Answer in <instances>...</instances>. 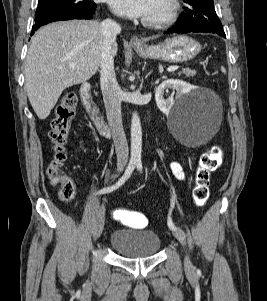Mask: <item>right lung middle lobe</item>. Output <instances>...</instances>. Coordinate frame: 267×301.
Listing matches in <instances>:
<instances>
[{
	"instance_id": "obj_1",
	"label": "right lung middle lobe",
	"mask_w": 267,
	"mask_h": 301,
	"mask_svg": "<svg viewBox=\"0 0 267 301\" xmlns=\"http://www.w3.org/2000/svg\"><path fill=\"white\" fill-rule=\"evenodd\" d=\"M96 8V3L90 0H38L35 20L56 12H84Z\"/></svg>"
}]
</instances>
